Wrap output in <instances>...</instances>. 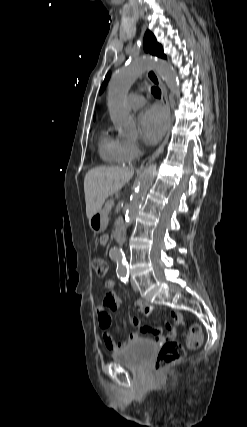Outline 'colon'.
<instances>
[{"mask_svg": "<svg viewBox=\"0 0 247 427\" xmlns=\"http://www.w3.org/2000/svg\"><path fill=\"white\" fill-rule=\"evenodd\" d=\"M93 268L99 277H105L108 272V264L104 259L97 258L93 261ZM203 341L202 330L200 326L193 325L190 335L186 341L189 349H197ZM185 356V348L181 343L167 341L160 348L156 361L155 370L162 371L168 366L180 361Z\"/></svg>", "mask_w": 247, "mask_h": 427, "instance_id": "obj_1", "label": "colon"}]
</instances>
